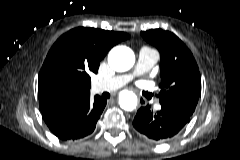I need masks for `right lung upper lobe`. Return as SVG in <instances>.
Returning <instances> with one entry per match:
<instances>
[{
	"mask_svg": "<svg viewBox=\"0 0 240 160\" xmlns=\"http://www.w3.org/2000/svg\"><path fill=\"white\" fill-rule=\"evenodd\" d=\"M130 36L124 32L78 27L63 34L48 52L38 78L42 112L90 94V74L97 73L108 50Z\"/></svg>",
	"mask_w": 240,
	"mask_h": 160,
	"instance_id": "1",
	"label": "right lung upper lobe"
}]
</instances>
